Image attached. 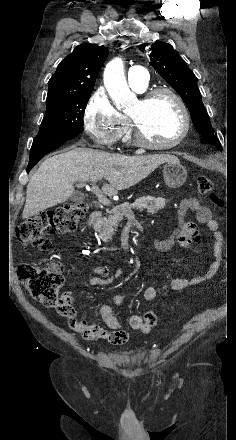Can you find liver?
<instances>
[{
	"label": "liver",
	"mask_w": 236,
	"mask_h": 440,
	"mask_svg": "<svg viewBox=\"0 0 236 440\" xmlns=\"http://www.w3.org/2000/svg\"><path fill=\"white\" fill-rule=\"evenodd\" d=\"M177 159L169 154L127 156L73 148L47 158L30 178L22 218L27 219L57 204L74 193L75 182H95L105 178L104 194L113 196L150 175L159 165Z\"/></svg>",
	"instance_id": "1"
}]
</instances>
